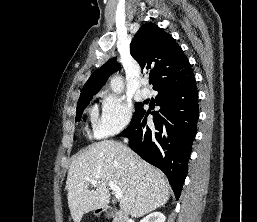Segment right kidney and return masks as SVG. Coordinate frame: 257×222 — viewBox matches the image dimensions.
<instances>
[{"label": "right kidney", "instance_id": "obj_1", "mask_svg": "<svg viewBox=\"0 0 257 222\" xmlns=\"http://www.w3.org/2000/svg\"><path fill=\"white\" fill-rule=\"evenodd\" d=\"M166 217L161 212H153L144 217L140 222H165Z\"/></svg>", "mask_w": 257, "mask_h": 222}]
</instances>
